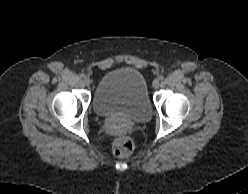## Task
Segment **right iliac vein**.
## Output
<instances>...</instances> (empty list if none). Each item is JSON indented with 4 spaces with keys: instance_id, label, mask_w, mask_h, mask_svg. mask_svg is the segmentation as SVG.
I'll list each match as a JSON object with an SVG mask.
<instances>
[{
    "instance_id": "63e3f726",
    "label": "right iliac vein",
    "mask_w": 248,
    "mask_h": 194,
    "mask_svg": "<svg viewBox=\"0 0 248 194\" xmlns=\"http://www.w3.org/2000/svg\"><path fill=\"white\" fill-rule=\"evenodd\" d=\"M84 83L86 85H89L91 83L90 79L88 77L84 78Z\"/></svg>"
}]
</instances>
